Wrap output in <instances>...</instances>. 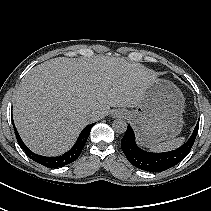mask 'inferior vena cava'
<instances>
[{
  "instance_id": "1",
  "label": "inferior vena cava",
  "mask_w": 211,
  "mask_h": 211,
  "mask_svg": "<svg viewBox=\"0 0 211 211\" xmlns=\"http://www.w3.org/2000/svg\"><path fill=\"white\" fill-rule=\"evenodd\" d=\"M91 116H92L93 118H96V117H97V115H96V114H94V113H93Z\"/></svg>"
}]
</instances>
